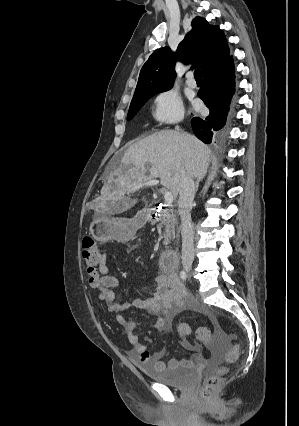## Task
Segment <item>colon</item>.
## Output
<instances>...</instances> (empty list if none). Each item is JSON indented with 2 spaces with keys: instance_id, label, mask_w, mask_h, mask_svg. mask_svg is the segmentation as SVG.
Masks as SVG:
<instances>
[{
  "instance_id": "colon-1",
  "label": "colon",
  "mask_w": 299,
  "mask_h": 426,
  "mask_svg": "<svg viewBox=\"0 0 299 426\" xmlns=\"http://www.w3.org/2000/svg\"><path fill=\"white\" fill-rule=\"evenodd\" d=\"M82 257L86 264L89 284L96 290L99 298L102 300L103 292L100 289L99 280L96 276V269L101 261L102 251L100 245L92 237L87 236L84 238L82 244ZM216 331L218 335H222V330L217 324ZM177 332L181 339H186L191 334L192 328L187 323H180ZM195 335L197 340L203 344L208 343L211 339V332L206 327L197 328ZM228 338L233 345L227 354V361L233 362L238 356V349L235 343V336L229 335ZM226 374L227 368L225 366H220L206 377L200 389V397L202 400L210 401L215 396Z\"/></svg>"
}]
</instances>
